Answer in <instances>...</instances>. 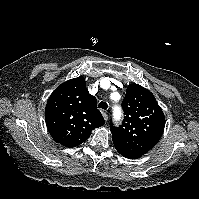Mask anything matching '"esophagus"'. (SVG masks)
Segmentation results:
<instances>
[{
    "mask_svg": "<svg viewBox=\"0 0 199 199\" xmlns=\"http://www.w3.org/2000/svg\"><path fill=\"white\" fill-rule=\"evenodd\" d=\"M102 115H103V117H104L105 121H107V119H108V115H107V113L103 111V112H102Z\"/></svg>",
    "mask_w": 199,
    "mask_h": 199,
    "instance_id": "esophagus-1",
    "label": "esophagus"
}]
</instances>
